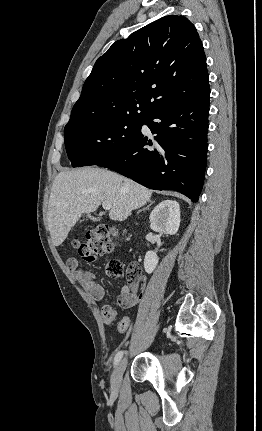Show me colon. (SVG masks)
Instances as JSON below:
<instances>
[{"mask_svg": "<svg viewBox=\"0 0 262 431\" xmlns=\"http://www.w3.org/2000/svg\"><path fill=\"white\" fill-rule=\"evenodd\" d=\"M114 234L115 230L113 228L103 224L91 231L83 241L77 239L72 240L70 246L76 251L81 260L92 262L96 257L110 252L117 246L116 241L112 238ZM106 271L111 277H120L124 273V266L119 261H111L106 266ZM127 273L130 278H136L140 270L136 264H131L128 267ZM103 319L106 323H113L115 321V318L111 316L110 312L103 314ZM117 327L121 331L127 330L129 327V320L127 318L120 319L117 321Z\"/></svg>", "mask_w": 262, "mask_h": 431, "instance_id": "1", "label": "colon"}]
</instances>
